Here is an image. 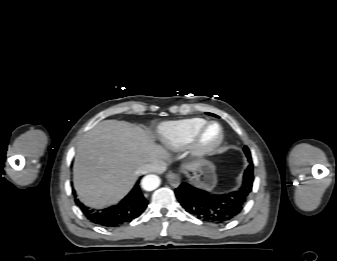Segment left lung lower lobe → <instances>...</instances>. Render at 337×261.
Instances as JSON below:
<instances>
[{
    "label": "left lung lower lobe",
    "instance_id": "left-lung-lower-lobe-1",
    "mask_svg": "<svg viewBox=\"0 0 337 261\" xmlns=\"http://www.w3.org/2000/svg\"><path fill=\"white\" fill-rule=\"evenodd\" d=\"M253 181V167L250 166L245 170L242 185L237 191L212 195L184 182L175 189V194L183 208L198 219L226 223L243 210L252 191Z\"/></svg>",
    "mask_w": 337,
    "mask_h": 261
}]
</instances>
